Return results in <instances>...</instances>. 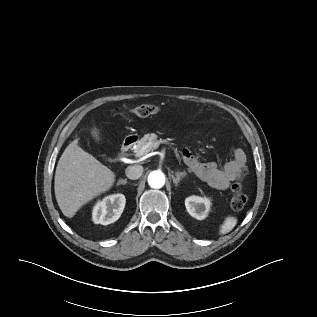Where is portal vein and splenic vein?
Returning <instances> with one entry per match:
<instances>
[{
	"mask_svg": "<svg viewBox=\"0 0 317 317\" xmlns=\"http://www.w3.org/2000/svg\"><path fill=\"white\" fill-rule=\"evenodd\" d=\"M152 144L151 143H148L147 145H145L143 147V150H145L146 148L150 147ZM157 144L155 143L154 146H156ZM143 157L146 158L147 157V154H143ZM178 160L181 161V159L178 157Z\"/></svg>",
	"mask_w": 317,
	"mask_h": 317,
	"instance_id": "portal-vein-and-splenic-vein-1",
	"label": "portal vein and splenic vein"
}]
</instances>
